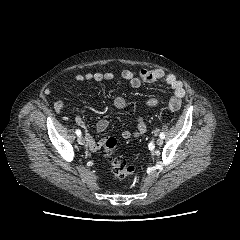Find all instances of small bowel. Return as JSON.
I'll use <instances>...</instances> for the list:
<instances>
[{
  "label": "small bowel",
  "instance_id": "1",
  "mask_svg": "<svg viewBox=\"0 0 240 240\" xmlns=\"http://www.w3.org/2000/svg\"><path fill=\"white\" fill-rule=\"evenodd\" d=\"M121 77L128 81L129 84L134 87L138 88L141 86L142 83H154L158 81H164L172 90L173 95L169 99L168 107L173 110L177 111L182 104V99L185 96V89L181 81H179L174 75L172 74H165L161 69H154V70H146L142 69L139 72H134L128 69H125L121 72ZM115 78L114 73L110 71H97V72H84L80 74H76L74 76V80L76 82H84V81H111ZM159 103V100L156 97H151L147 99L144 103L145 106L153 108L156 107ZM113 105L117 109H124L127 106L126 100L123 97H116L113 101ZM65 105L64 102L58 100L54 103V110L56 113H61L64 109ZM75 122L79 125L82 129L86 131V141L87 146L91 151H96L103 146L104 140L95 141L91 135L87 133V125L85 121L80 117H75ZM110 126V123L106 119H101L96 124V130L98 132H105ZM147 130V126L143 117L138 116L136 118V129L135 130H124L122 132V137L124 139H131V138H138L142 136Z\"/></svg>",
  "mask_w": 240,
  "mask_h": 240
}]
</instances>
